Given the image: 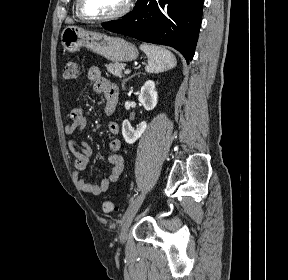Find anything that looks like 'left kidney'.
<instances>
[{"mask_svg": "<svg viewBox=\"0 0 288 280\" xmlns=\"http://www.w3.org/2000/svg\"><path fill=\"white\" fill-rule=\"evenodd\" d=\"M138 100L147 111L153 110L156 107L158 94L155 90L154 81L148 80L145 82L139 93ZM146 128L147 123L145 121L141 122L137 126V129H134L128 120H124L122 123L123 138L128 144H133L142 136Z\"/></svg>", "mask_w": 288, "mask_h": 280, "instance_id": "left-kidney-1", "label": "left kidney"}]
</instances>
